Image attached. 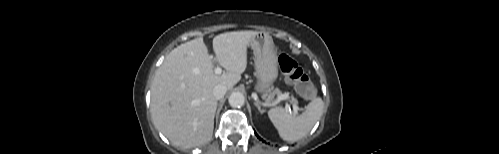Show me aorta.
<instances>
[{"instance_id": "1", "label": "aorta", "mask_w": 499, "mask_h": 154, "mask_svg": "<svg viewBox=\"0 0 499 154\" xmlns=\"http://www.w3.org/2000/svg\"><path fill=\"white\" fill-rule=\"evenodd\" d=\"M228 102H229L231 107H234V108L241 107L245 103V97L241 92H233L229 96Z\"/></svg>"}]
</instances>
